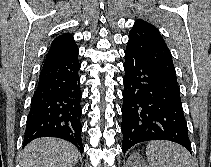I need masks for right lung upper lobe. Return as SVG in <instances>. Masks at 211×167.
I'll return each mask as SVG.
<instances>
[{
	"label": "right lung upper lobe",
	"mask_w": 211,
	"mask_h": 167,
	"mask_svg": "<svg viewBox=\"0 0 211 167\" xmlns=\"http://www.w3.org/2000/svg\"><path fill=\"white\" fill-rule=\"evenodd\" d=\"M76 56H78V47L73 35L64 33L53 40L43 66L59 63Z\"/></svg>",
	"instance_id": "1"
}]
</instances>
